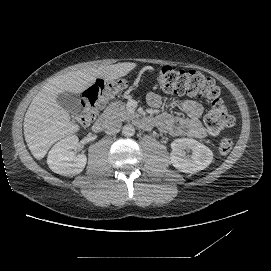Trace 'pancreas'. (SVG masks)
<instances>
[{
  "label": "pancreas",
  "instance_id": "pancreas-1",
  "mask_svg": "<svg viewBox=\"0 0 271 271\" xmlns=\"http://www.w3.org/2000/svg\"><path fill=\"white\" fill-rule=\"evenodd\" d=\"M105 114L117 118L121 121L130 120L135 114L126 110L121 102H112L104 112Z\"/></svg>",
  "mask_w": 271,
  "mask_h": 271
}]
</instances>
